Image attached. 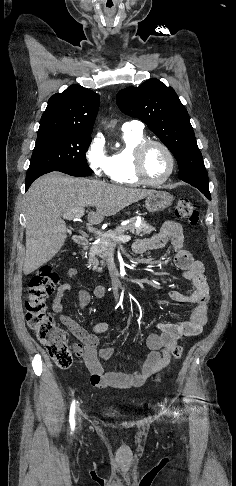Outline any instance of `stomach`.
Segmentation results:
<instances>
[{
    "label": "stomach",
    "mask_w": 236,
    "mask_h": 486,
    "mask_svg": "<svg viewBox=\"0 0 236 486\" xmlns=\"http://www.w3.org/2000/svg\"><path fill=\"white\" fill-rule=\"evenodd\" d=\"M173 201V196L166 191H154L145 200L146 209L151 212H160L168 208Z\"/></svg>",
    "instance_id": "0dacf381"
}]
</instances>
